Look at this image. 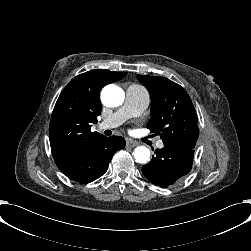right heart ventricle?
Listing matches in <instances>:
<instances>
[{
    "label": "right heart ventricle",
    "mask_w": 251,
    "mask_h": 251,
    "mask_svg": "<svg viewBox=\"0 0 251 251\" xmlns=\"http://www.w3.org/2000/svg\"><path fill=\"white\" fill-rule=\"evenodd\" d=\"M131 72H132L133 74H137V73H138L137 70H131Z\"/></svg>",
    "instance_id": "e07e8e85"
}]
</instances>
